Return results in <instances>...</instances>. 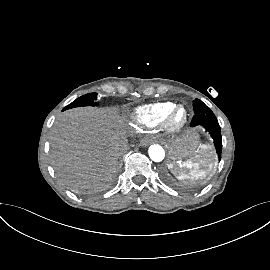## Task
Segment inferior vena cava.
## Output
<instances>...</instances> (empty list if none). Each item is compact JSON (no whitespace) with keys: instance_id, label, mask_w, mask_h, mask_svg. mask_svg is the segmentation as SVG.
I'll use <instances>...</instances> for the list:
<instances>
[{"instance_id":"inferior-vena-cava-1","label":"inferior vena cava","mask_w":270,"mask_h":270,"mask_svg":"<svg viewBox=\"0 0 270 270\" xmlns=\"http://www.w3.org/2000/svg\"><path fill=\"white\" fill-rule=\"evenodd\" d=\"M128 149V140L124 138L121 142L116 144V151L118 154H123Z\"/></svg>"}]
</instances>
